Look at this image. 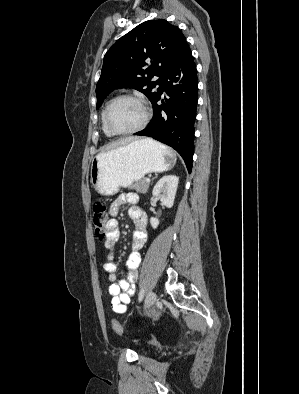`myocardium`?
Returning a JSON list of instances; mask_svg holds the SVG:
<instances>
[{
    "label": "myocardium",
    "mask_w": 299,
    "mask_h": 394,
    "mask_svg": "<svg viewBox=\"0 0 299 394\" xmlns=\"http://www.w3.org/2000/svg\"><path fill=\"white\" fill-rule=\"evenodd\" d=\"M122 99H131V100H135L136 102H138L143 109L144 116H143V120L141 121V123L138 126H136L135 128H133L131 130H127V131H116L110 125L109 115H110V111H111L112 107L114 106V104ZM150 116H151V113H150L149 107L147 106V104L143 98H141L140 96L135 95V94H121V95H118L115 98H113L108 103L106 110H105L104 122H105L106 128L108 129V131L111 134L118 135V136H125V135L135 134V133L141 131L142 129H144L150 120Z\"/></svg>",
    "instance_id": "1"
}]
</instances>
